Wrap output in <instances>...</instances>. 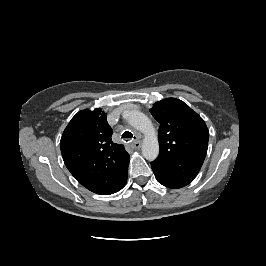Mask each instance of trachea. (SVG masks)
<instances>
[{
    "label": "trachea",
    "instance_id": "obj_1",
    "mask_svg": "<svg viewBox=\"0 0 266 266\" xmlns=\"http://www.w3.org/2000/svg\"><path fill=\"white\" fill-rule=\"evenodd\" d=\"M122 138L123 139H131L133 138V134L130 132V131H125L123 134H122ZM135 138V137H134Z\"/></svg>",
    "mask_w": 266,
    "mask_h": 266
}]
</instances>
